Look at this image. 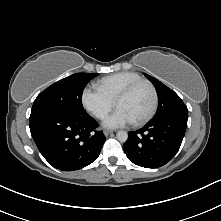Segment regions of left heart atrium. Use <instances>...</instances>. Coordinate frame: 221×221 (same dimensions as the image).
<instances>
[{"mask_svg": "<svg viewBox=\"0 0 221 221\" xmlns=\"http://www.w3.org/2000/svg\"><path fill=\"white\" fill-rule=\"evenodd\" d=\"M132 122V119L124 110L117 108L109 117L104 120L103 124L108 128H119Z\"/></svg>", "mask_w": 221, "mask_h": 221, "instance_id": "39dd6f15", "label": "left heart atrium"}]
</instances>
